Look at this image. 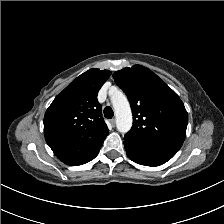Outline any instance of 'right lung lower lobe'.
Returning <instances> with one entry per match:
<instances>
[{"instance_id": "obj_1", "label": "right lung lower lobe", "mask_w": 224, "mask_h": 224, "mask_svg": "<svg viewBox=\"0 0 224 224\" xmlns=\"http://www.w3.org/2000/svg\"><path fill=\"white\" fill-rule=\"evenodd\" d=\"M44 135L58 159L71 166L82 165L94 159L106 138L92 141L55 130L45 131Z\"/></svg>"}]
</instances>
